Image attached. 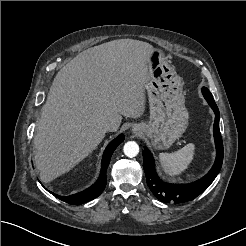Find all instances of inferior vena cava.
Listing matches in <instances>:
<instances>
[{"label":"inferior vena cava","instance_id":"1","mask_svg":"<svg viewBox=\"0 0 246 246\" xmlns=\"http://www.w3.org/2000/svg\"><path fill=\"white\" fill-rule=\"evenodd\" d=\"M102 129H103L104 132H112V131H116L117 127H116V125L113 122L105 121L102 124Z\"/></svg>","mask_w":246,"mask_h":246}]
</instances>
